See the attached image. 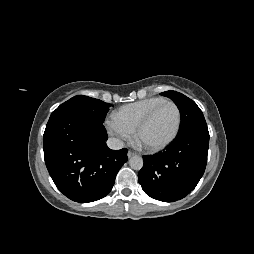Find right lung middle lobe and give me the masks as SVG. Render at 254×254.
I'll return each instance as SVG.
<instances>
[{"label": "right lung middle lobe", "mask_w": 254, "mask_h": 254, "mask_svg": "<svg viewBox=\"0 0 254 254\" xmlns=\"http://www.w3.org/2000/svg\"><path fill=\"white\" fill-rule=\"evenodd\" d=\"M110 106L101 100L78 95L61 104L50 117L72 113L103 123Z\"/></svg>", "instance_id": "obj_1"}]
</instances>
